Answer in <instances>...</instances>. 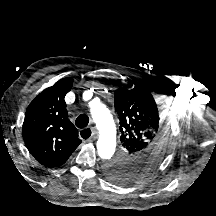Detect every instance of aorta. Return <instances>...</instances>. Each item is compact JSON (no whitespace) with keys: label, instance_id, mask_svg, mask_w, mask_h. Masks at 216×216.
Wrapping results in <instances>:
<instances>
[{"label":"aorta","instance_id":"762f6f07","mask_svg":"<svg viewBox=\"0 0 216 216\" xmlns=\"http://www.w3.org/2000/svg\"><path fill=\"white\" fill-rule=\"evenodd\" d=\"M91 115L99 131L98 155L105 160L111 159L116 148V126L113 117L103 104L91 106Z\"/></svg>","mask_w":216,"mask_h":216}]
</instances>
